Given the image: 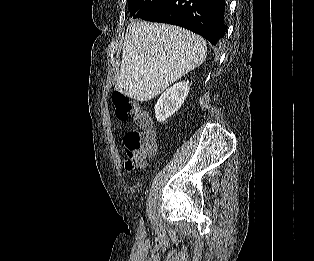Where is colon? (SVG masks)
<instances>
[{
  "label": "colon",
  "instance_id": "obj_1",
  "mask_svg": "<svg viewBox=\"0 0 314 261\" xmlns=\"http://www.w3.org/2000/svg\"><path fill=\"white\" fill-rule=\"evenodd\" d=\"M112 100L116 118L120 121L132 119L136 124V128L124 135L123 145L129 157L126 168L138 167L142 159L153 154L156 148V135L151 129V118L145 110L121 91H114Z\"/></svg>",
  "mask_w": 314,
  "mask_h": 261
}]
</instances>
